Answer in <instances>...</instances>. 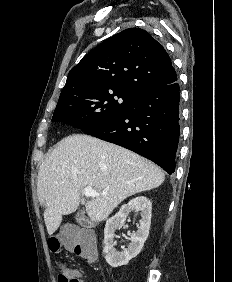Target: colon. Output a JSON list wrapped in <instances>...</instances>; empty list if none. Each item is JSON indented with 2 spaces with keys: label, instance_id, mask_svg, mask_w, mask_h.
I'll return each mask as SVG.
<instances>
[{
  "label": "colon",
  "instance_id": "colon-1",
  "mask_svg": "<svg viewBox=\"0 0 232 282\" xmlns=\"http://www.w3.org/2000/svg\"><path fill=\"white\" fill-rule=\"evenodd\" d=\"M49 248L53 252L64 248L74 252L78 256L92 261L96 256V248L93 236L90 232L76 229H66L49 239ZM58 282H80V279L73 274L72 269L64 263H58Z\"/></svg>",
  "mask_w": 232,
  "mask_h": 282
}]
</instances>
